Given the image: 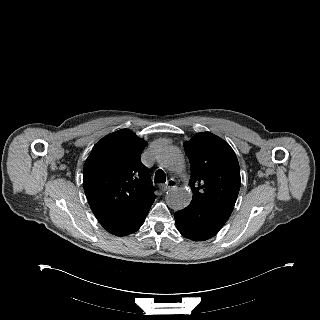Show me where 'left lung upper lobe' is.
I'll use <instances>...</instances> for the list:
<instances>
[{
	"mask_svg": "<svg viewBox=\"0 0 320 320\" xmlns=\"http://www.w3.org/2000/svg\"><path fill=\"white\" fill-rule=\"evenodd\" d=\"M184 149L191 165L192 200L208 203L231 214L241 184L233 149L210 132L198 133L184 144Z\"/></svg>",
	"mask_w": 320,
	"mask_h": 320,
	"instance_id": "left-lung-upper-lobe-1",
	"label": "left lung upper lobe"
}]
</instances>
